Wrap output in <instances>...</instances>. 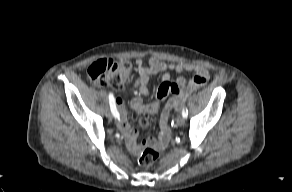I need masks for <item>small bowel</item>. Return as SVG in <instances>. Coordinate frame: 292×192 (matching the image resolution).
I'll return each instance as SVG.
<instances>
[{"instance_id": "1", "label": "small bowel", "mask_w": 292, "mask_h": 192, "mask_svg": "<svg viewBox=\"0 0 292 192\" xmlns=\"http://www.w3.org/2000/svg\"><path fill=\"white\" fill-rule=\"evenodd\" d=\"M134 68L138 74V78L133 83L131 89L138 90L142 95L148 94L150 77L158 73H163L161 77L162 82L158 85L157 99L153 103L144 105L140 97L134 98L131 102L133 110L137 113L147 112L153 114L160 110L158 115V130L160 137L158 140L150 139L139 143L137 141L138 131L133 129L128 123L123 101L120 98L116 99V104L121 114L117 123L118 128L125 138L129 151L137 155L147 145H153L161 149L168 143L170 138V130L168 127L170 112L179 106L180 100L188 93L206 84L209 79V72L203 65L166 63L156 57H151L147 65H145L142 60L137 59ZM168 71H175L176 73L193 71L195 74L188 83L182 77L172 82L170 81V74ZM165 99H167V102L163 106ZM147 125L148 122L143 126L146 127Z\"/></svg>"}]
</instances>
